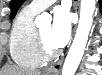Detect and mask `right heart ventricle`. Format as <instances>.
Returning <instances> with one entry per match:
<instances>
[{"mask_svg": "<svg viewBox=\"0 0 102 75\" xmlns=\"http://www.w3.org/2000/svg\"><path fill=\"white\" fill-rule=\"evenodd\" d=\"M38 13L24 7L16 16L9 41L12 60L26 68H36L40 60L36 54L35 36L37 27L34 19Z\"/></svg>", "mask_w": 102, "mask_h": 75, "instance_id": "obj_1", "label": "right heart ventricle"}]
</instances>
